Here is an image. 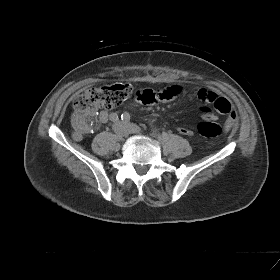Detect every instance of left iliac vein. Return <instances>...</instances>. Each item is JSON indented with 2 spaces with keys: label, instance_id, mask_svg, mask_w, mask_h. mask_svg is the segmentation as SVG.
Segmentation results:
<instances>
[{
  "label": "left iliac vein",
  "instance_id": "4c4485c4",
  "mask_svg": "<svg viewBox=\"0 0 280 280\" xmlns=\"http://www.w3.org/2000/svg\"><path fill=\"white\" fill-rule=\"evenodd\" d=\"M128 127L130 128L131 132L132 133H140L141 132V129L139 126H137L136 124H128Z\"/></svg>",
  "mask_w": 280,
  "mask_h": 280
}]
</instances>
